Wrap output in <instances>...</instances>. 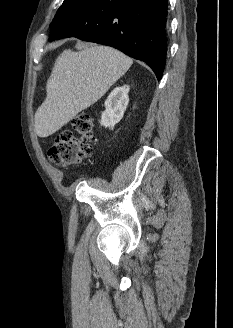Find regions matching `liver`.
<instances>
[{"mask_svg":"<svg viewBox=\"0 0 233 328\" xmlns=\"http://www.w3.org/2000/svg\"><path fill=\"white\" fill-rule=\"evenodd\" d=\"M133 61L106 46L65 50L47 80V96L35 113V132L45 138L98 101L130 68Z\"/></svg>","mask_w":233,"mask_h":328,"instance_id":"obj_1","label":"liver"}]
</instances>
